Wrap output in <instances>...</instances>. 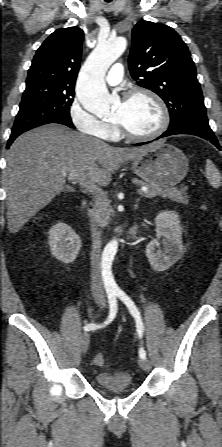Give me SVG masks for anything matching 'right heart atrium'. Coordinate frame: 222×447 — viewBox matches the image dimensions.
I'll use <instances>...</instances> for the list:
<instances>
[{"label":"right heart atrium","instance_id":"right-heart-atrium-1","mask_svg":"<svg viewBox=\"0 0 222 447\" xmlns=\"http://www.w3.org/2000/svg\"><path fill=\"white\" fill-rule=\"evenodd\" d=\"M69 116L72 124L78 131L84 134L102 136L108 128V124L87 112L84 108V99L79 97L71 106Z\"/></svg>","mask_w":222,"mask_h":447}]
</instances>
